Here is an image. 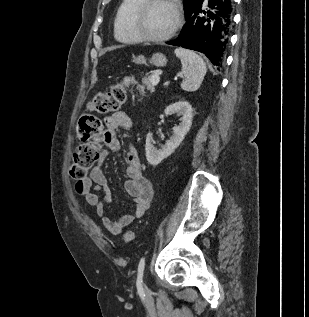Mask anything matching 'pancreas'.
I'll use <instances>...</instances> for the list:
<instances>
[{"label": "pancreas", "instance_id": "pancreas-1", "mask_svg": "<svg viewBox=\"0 0 309 317\" xmlns=\"http://www.w3.org/2000/svg\"><path fill=\"white\" fill-rule=\"evenodd\" d=\"M152 76V75H151ZM151 76L142 77V83L147 86V89L150 91H154L155 85L151 82Z\"/></svg>", "mask_w": 309, "mask_h": 317}]
</instances>
